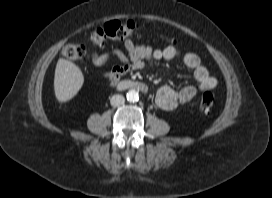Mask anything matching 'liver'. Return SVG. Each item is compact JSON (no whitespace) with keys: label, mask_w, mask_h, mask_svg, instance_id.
Wrapping results in <instances>:
<instances>
[{"label":"liver","mask_w":272,"mask_h":198,"mask_svg":"<svg viewBox=\"0 0 272 198\" xmlns=\"http://www.w3.org/2000/svg\"><path fill=\"white\" fill-rule=\"evenodd\" d=\"M84 76L80 68L69 60L60 58L54 77L55 96L59 102L71 100L81 89Z\"/></svg>","instance_id":"liver-1"}]
</instances>
